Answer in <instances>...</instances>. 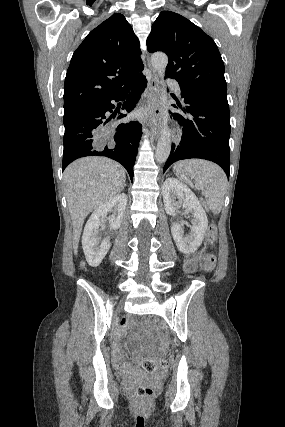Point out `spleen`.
<instances>
[{
	"label": "spleen",
	"instance_id": "obj_1",
	"mask_svg": "<svg viewBox=\"0 0 285 427\" xmlns=\"http://www.w3.org/2000/svg\"><path fill=\"white\" fill-rule=\"evenodd\" d=\"M174 171H187L195 181V186L201 190L207 199V204L214 214H219L227 188V177L223 170L212 162L205 160H184L177 162Z\"/></svg>",
	"mask_w": 285,
	"mask_h": 427
}]
</instances>
